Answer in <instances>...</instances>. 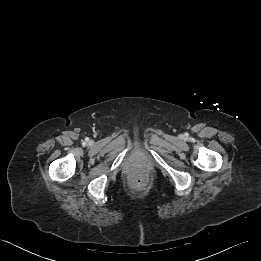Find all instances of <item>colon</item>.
Returning <instances> with one entry per match:
<instances>
[{
	"label": "colon",
	"mask_w": 261,
	"mask_h": 261,
	"mask_svg": "<svg viewBox=\"0 0 261 261\" xmlns=\"http://www.w3.org/2000/svg\"><path fill=\"white\" fill-rule=\"evenodd\" d=\"M135 180H136L137 182H141V181H142V178H141L140 176H137V177L135 178Z\"/></svg>",
	"instance_id": "obj_1"
}]
</instances>
